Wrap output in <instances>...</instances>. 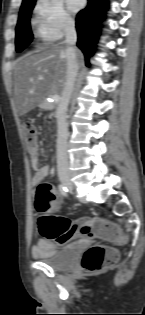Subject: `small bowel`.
Masks as SVG:
<instances>
[{"label":"small bowel","mask_w":145,"mask_h":315,"mask_svg":"<svg viewBox=\"0 0 145 315\" xmlns=\"http://www.w3.org/2000/svg\"><path fill=\"white\" fill-rule=\"evenodd\" d=\"M31 165L35 170L32 183L38 184L42 180L48 178L51 174V166H39V159L36 155L31 156ZM57 245L54 239L42 238L39 239L36 245L32 248V255L35 258H47L56 252Z\"/></svg>","instance_id":"1"}]
</instances>
